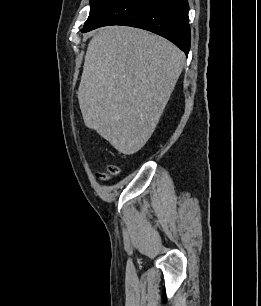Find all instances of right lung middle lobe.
<instances>
[{
	"instance_id": "dd1d6c3e",
	"label": "right lung middle lobe",
	"mask_w": 261,
	"mask_h": 306,
	"mask_svg": "<svg viewBox=\"0 0 261 306\" xmlns=\"http://www.w3.org/2000/svg\"><path fill=\"white\" fill-rule=\"evenodd\" d=\"M112 1L113 0H90V14L85 23V26L91 23Z\"/></svg>"
}]
</instances>
